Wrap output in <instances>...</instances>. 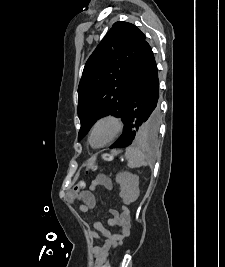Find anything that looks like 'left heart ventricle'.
Wrapping results in <instances>:
<instances>
[{"label":"left heart ventricle","mask_w":225,"mask_h":267,"mask_svg":"<svg viewBox=\"0 0 225 267\" xmlns=\"http://www.w3.org/2000/svg\"><path fill=\"white\" fill-rule=\"evenodd\" d=\"M115 125L112 121H103L99 123L92 133L91 142L93 145L105 143L114 133Z\"/></svg>","instance_id":"1"}]
</instances>
